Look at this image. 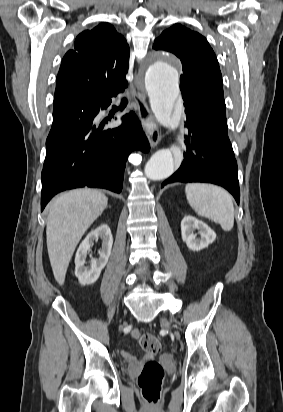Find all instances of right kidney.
I'll use <instances>...</instances> for the list:
<instances>
[{"label":"right kidney","mask_w":283,"mask_h":412,"mask_svg":"<svg viewBox=\"0 0 283 412\" xmlns=\"http://www.w3.org/2000/svg\"><path fill=\"white\" fill-rule=\"evenodd\" d=\"M102 241V247L99 251V257L90 261V266H85L86 257L93 245L98 239ZM113 237L111 230L106 224L100 225L91 231L80 244L75 256V275L80 284L90 285L97 281L102 269L106 266L111 254Z\"/></svg>","instance_id":"ca27d5eb"}]
</instances>
